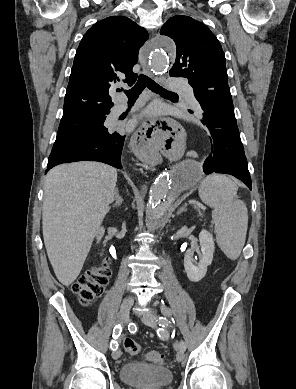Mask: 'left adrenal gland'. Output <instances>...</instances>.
I'll return each mask as SVG.
<instances>
[{
  "instance_id": "obj_1",
  "label": "left adrenal gland",
  "mask_w": 296,
  "mask_h": 389,
  "mask_svg": "<svg viewBox=\"0 0 296 389\" xmlns=\"http://www.w3.org/2000/svg\"><path fill=\"white\" fill-rule=\"evenodd\" d=\"M186 207H187V203H185L183 206H181L177 212H176V215H179L181 214L182 212H185L186 211Z\"/></svg>"
}]
</instances>
